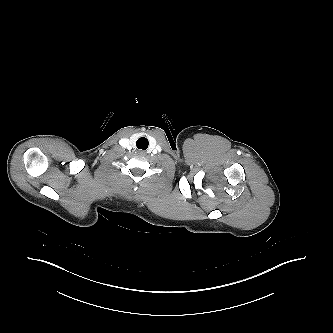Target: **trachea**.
I'll return each mask as SVG.
<instances>
[{
    "label": "trachea",
    "mask_w": 333,
    "mask_h": 333,
    "mask_svg": "<svg viewBox=\"0 0 333 333\" xmlns=\"http://www.w3.org/2000/svg\"><path fill=\"white\" fill-rule=\"evenodd\" d=\"M137 148L138 149H141V150H146L148 148V145H149V141L147 138L145 137H140L138 140H137Z\"/></svg>",
    "instance_id": "obj_1"
}]
</instances>
